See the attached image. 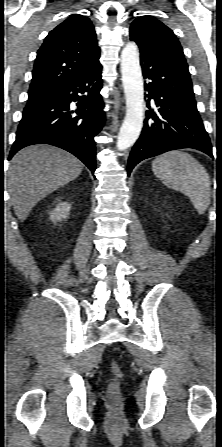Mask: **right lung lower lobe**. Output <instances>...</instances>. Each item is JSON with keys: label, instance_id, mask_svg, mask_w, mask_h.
<instances>
[{"label": "right lung lower lobe", "instance_id": "98d812e1", "mask_svg": "<svg viewBox=\"0 0 222 447\" xmlns=\"http://www.w3.org/2000/svg\"><path fill=\"white\" fill-rule=\"evenodd\" d=\"M101 70L102 66L98 63L49 98L27 105L9 159L26 146L45 143L72 153L94 173V137L101 131L105 121L100 95ZM72 101H77L76 109L71 106Z\"/></svg>", "mask_w": 222, "mask_h": 447}]
</instances>
